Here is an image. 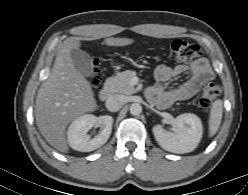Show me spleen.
<instances>
[{
  "label": "spleen",
  "mask_w": 248,
  "mask_h": 195,
  "mask_svg": "<svg viewBox=\"0 0 248 195\" xmlns=\"http://www.w3.org/2000/svg\"><path fill=\"white\" fill-rule=\"evenodd\" d=\"M223 112V102L221 100H216L213 102L209 115V136H214L221 124Z\"/></svg>",
  "instance_id": "spleen-1"
}]
</instances>
